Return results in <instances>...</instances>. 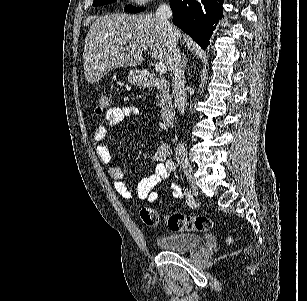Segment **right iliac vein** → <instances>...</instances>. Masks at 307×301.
<instances>
[{"instance_id": "right-iliac-vein-1", "label": "right iliac vein", "mask_w": 307, "mask_h": 301, "mask_svg": "<svg viewBox=\"0 0 307 301\" xmlns=\"http://www.w3.org/2000/svg\"><path fill=\"white\" fill-rule=\"evenodd\" d=\"M177 160H178L180 166L182 167L185 176L188 178L189 182L192 183V181H193V171H192V168H191L189 161L183 155L178 156Z\"/></svg>"}]
</instances>
